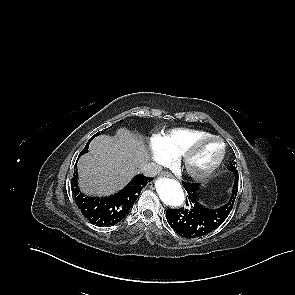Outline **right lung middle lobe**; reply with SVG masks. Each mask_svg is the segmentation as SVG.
<instances>
[{
	"instance_id": "1",
	"label": "right lung middle lobe",
	"mask_w": 295,
	"mask_h": 295,
	"mask_svg": "<svg viewBox=\"0 0 295 295\" xmlns=\"http://www.w3.org/2000/svg\"><path fill=\"white\" fill-rule=\"evenodd\" d=\"M110 128H111V127H110ZM106 130H107V129H106ZM98 135H100V132L96 133L92 138H94L95 136H98ZM92 138L88 141V143L86 144V146L89 145V143H90V141L92 140ZM86 146H85V148H86ZM85 148H84L82 151H84Z\"/></svg>"
}]
</instances>
